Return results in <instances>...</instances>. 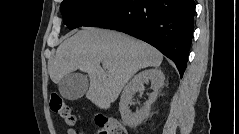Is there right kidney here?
<instances>
[{
  "mask_svg": "<svg viewBox=\"0 0 239 134\" xmlns=\"http://www.w3.org/2000/svg\"><path fill=\"white\" fill-rule=\"evenodd\" d=\"M165 76L160 69H148L144 70L137 75L125 86L119 103V110L121 113L122 120L127 126H137L141 124L144 119L149 115L150 106L155 101L158 95L159 89L163 86ZM150 81L153 92L150 94L148 101L145 105L132 112L129 109L132 97L136 92H141L144 89V83Z\"/></svg>",
  "mask_w": 239,
  "mask_h": 134,
  "instance_id": "right-kidney-1",
  "label": "right kidney"
}]
</instances>
